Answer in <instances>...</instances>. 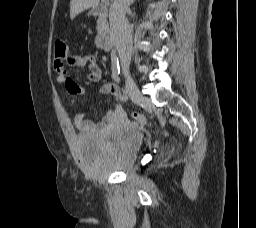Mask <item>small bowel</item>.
<instances>
[{
  "label": "small bowel",
  "instance_id": "small-bowel-1",
  "mask_svg": "<svg viewBox=\"0 0 256 228\" xmlns=\"http://www.w3.org/2000/svg\"><path fill=\"white\" fill-rule=\"evenodd\" d=\"M75 66L78 68H86L87 78L91 82H98L102 78V69L97 64L96 57L93 55L81 56L70 53V58L63 65L57 64L54 60V68L57 72V82L65 86L66 91L73 96L82 95L85 89L79 85L71 76L67 74L66 67ZM100 93L103 95H112L118 97L119 87L117 84L105 83ZM128 117L118 100L115 101L113 108L109 110L100 122H93L85 118V113H80L75 117V126L81 132L86 133H108L115 127L126 124Z\"/></svg>",
  "mask_w": 256,
  "mask_h": 228
}]
</instances>
